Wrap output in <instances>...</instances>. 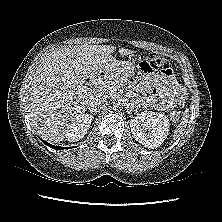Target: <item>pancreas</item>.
Returning a JSON list of instances; mask_svg holds the SVG:
<instances>
[{
	"instance_id": "obj_1",
	"label": "pancreas",
	"mask_w": 222,
	"mask_h": 222,
	"mask_svg": "<svg viewBox=\"0 0 222 222\" xmlns=\"http://www.w3.org/2000/svg\"><path fill=\"white\" fill-rule=\"evenodd\" d=\"M123 77L119 74V73H113L111 75H109L105 81V88H106V91L112 95L115 94V91H112V89H107L106 86H113V85H116L119 86L122 82H123ZM115 87V88H116Z\"/></svg>"
}]
</instances>
